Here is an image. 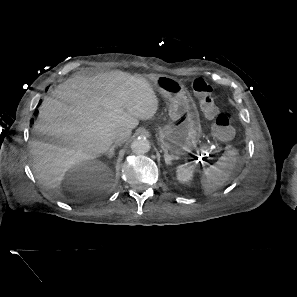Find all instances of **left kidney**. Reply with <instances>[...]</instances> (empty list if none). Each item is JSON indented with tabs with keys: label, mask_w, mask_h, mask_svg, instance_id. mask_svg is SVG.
<instances>
[{
	"label": "left kidney",
	"mask_w": 297,
	"mask_h": 297,
	"mask_svg": "<svg viewBox=\"0 0 297 297\" xmlns=\"http://www.w3.org/2000/svg\"><path fill=\"white\" fill-rule=\"evenodd\" d=\"M193 177L192 165H181L177 167V179L182 183H188Z\"/></svg>",
	"instance_id": "5707ae66"
}]
</instances>
